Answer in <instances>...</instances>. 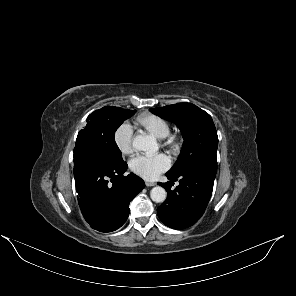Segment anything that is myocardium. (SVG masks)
Here are the masks:
<instances>
[{"instance_id":"myocardium-1","label":"myocardium","mask_w":296,"mask_h":296,"mask_svg":"<svg viewBox=\"0 0 296 296\" xmlns=\"http://www.w3.org/2000/svg\"><path fill=\"white\" fill-rule=\"evenodd\" d=\"M161 145L165 147L169 152L176 154L180 150V138L176 134H168L161 139Z\"/></svg>"}]
</instances>
